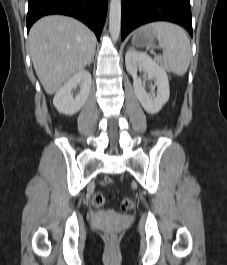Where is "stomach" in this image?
<instances>
[{
	"instance_id": "stomach-1",
	"label": "stomach",
	"mask_w": 227,
	"mask_h": 265,
	"mask_svg": "<svg viewBox=\"0 0 227 265\" xmlns=\"http://www.w3.org/2000/svg\"><path fill=\"white\" fill-rule=\"evenodd\" d=\"M156 36L151 32L136 31L132 37V44L137 47L152 45Z\"/></svg>"
}]
</instances>
